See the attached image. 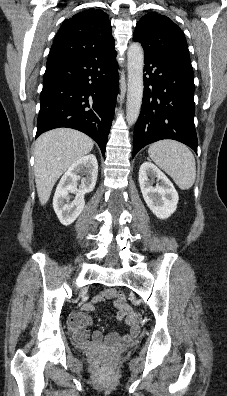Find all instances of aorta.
Instances as JSON below:
<instances>
[{
  "instance_id": "obj_1",
  "label": "aorta",
  "mask_w": 227,
  "mask_h": 396,
  "mask_svg": "<svg viewBox=\"0 0 227 396\" xmlns=\"http://www.w3.org/2000/svg\"><path fill=\"white\" fill-rule=\"evenodd\" d=\"M128 58V92L126 103V120L133 125L140 114L143 97L144 52L141 44L134 42L129 46Z\"/></svg>"
}]
</instances>
